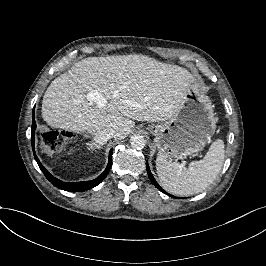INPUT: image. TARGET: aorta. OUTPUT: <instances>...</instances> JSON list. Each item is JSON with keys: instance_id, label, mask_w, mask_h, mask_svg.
<instances>
[{"instance_id": "obj_1", "label": "aorta", "mask_w": 266, "mask_h": 266, "mask_svg": "<svg viewBox=\"0 0 266 266\" xmlns=\"http://www.w3.org/2000/svg\"><path fill=\"white\" fill-rule=\"evenodd\" d=\"M146 141L143 136L141 135H133L130 138V145L132 148L141 150L145 147Z\"/></svg>"}]
</instances>
